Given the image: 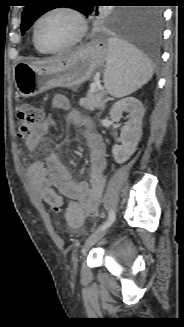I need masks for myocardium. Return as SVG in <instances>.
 Here are the masks:
<instances>
[{
    "label": "myocardium",
    "mask_w": 184,
    "mask_h": 327,
    "mask_svg": "<svg viewBox=\"0 0 184 327\" xmlns=\"http://www.w3.org/2000/svg\"><path fill=\"white\" fill-rule=\"evenodd\" d=\"M56 12H63V13L69 14L71 17H73L77 23L78 32H77L76 36L67 44L60 46V47H56V48H47L39 42L38 34H37L38 26L45 17H47L48 15H50L52 13H56ZM87 31H88V26H87L86 20L80 11H78L77 9H75L74 7H71V6H55V7H51L49 9H47L36 19V21L33 25V41H34L35 46L38 49H40L42 52L57 53V52H62V51L68 50V49L76 46L77 44H79L86 36Z\"/></svg>",
    "instance_id": "obj_1"
}]
</instances>
